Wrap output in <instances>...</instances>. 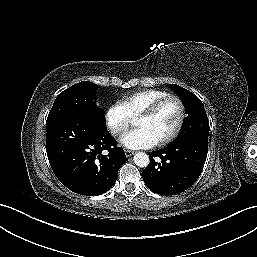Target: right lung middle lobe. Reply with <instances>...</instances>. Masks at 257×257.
<instances>
[{
    "label": "right lung middle lobe",
    "mask_w": 257,
    "mask_h": 257,
    "mask_svg": "<svg viewBox=\"0 0 257 257\" xmlns=\"http://www.w3.org/2000/svg\"><path fill=\"white\" fill-rule=\"evenodd\" d=\"M96 85L82 81L61 92L49 112L48 118L62 115H80L101 129H106L104 111L95 101Z\"/></svg>",
    "instance_id": "dd1d6c3e"
}]
</instances>
